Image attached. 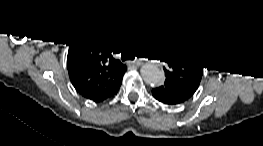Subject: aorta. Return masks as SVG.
<instances>
[{"mask_svg": "<svg viewBox=\"0 0 263 146\" xmlns=\"http://www.w3.org/2000/svg\"><path fill=\"white\" fill-rule=\"evenodd\" d=\"M143 80L151 86H160L164 82V74L156 66L145 64L140 69Z\"/></svg>", "mask_w": 263, "mask_h": 146, "instance_id": "1", "label": "aorta"}]
</instances>
